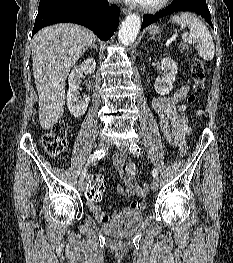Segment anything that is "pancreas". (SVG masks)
Returning <instances> with one entry per match:
<instances>
[{
    "label": "pancreas",
    "instance_id": "obj_1",
    "mask_svg": "<svg viewBox=\"0 0 233 263\" xmlns=\"http://www.w3.org/2000/svg\"><path fill=\"white\" fill-rule=\"evenodd\" d=\"M180 48H181L182 50H185V49L189 50V49H190V46L187 45V44H182V45H180Z\"/></svg>",
    "mask_w": 233,
    "mask_h": 263
}]
</instances>
